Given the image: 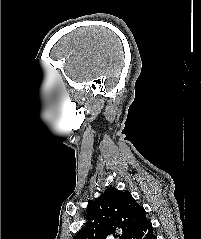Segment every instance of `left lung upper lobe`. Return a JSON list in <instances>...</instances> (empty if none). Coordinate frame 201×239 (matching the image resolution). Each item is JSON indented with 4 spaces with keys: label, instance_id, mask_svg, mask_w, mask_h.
Returning a JSON list of instances; mask_svg holds the SVG:
<instances>
[{
    "label": "left lung upper lobe",
    "instance_id": "5c2ea615",
    "mask_svg": "<svg viewBox=\"0 0 201 239\" xmlns=\"http://www.w3.org/2000/svg\"><path fill=\"white\" fill-rule=\"evenodd\" d=\"M147 221L144 208L128 191L110 187L89 204L87 223L73 239H105L115 233L114 227L122 228L121 239H129Z\"/></svg>",
    "mask_w": 201,
    "mask_h": 239
}]
</instances>
